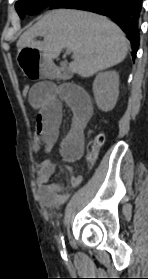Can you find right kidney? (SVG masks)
<instances>
[{
  "mask_svg": "<svg viewBox=\"0 0 148 279\" xmlns=\"http://www.w3.org/2000/svg\"><path fill=\"white\" fill-rule=\"evenodd\" d=\"M93 93L98 108L103 112L111 111L119 95V75L116 71L99 73L93 82Z\"/></svg>",
  "mask_w": 148,
  "mask_h": 279,
  "instance_id": "ca27d5eb",
  "label": "right kidney"
}]
</instances>
